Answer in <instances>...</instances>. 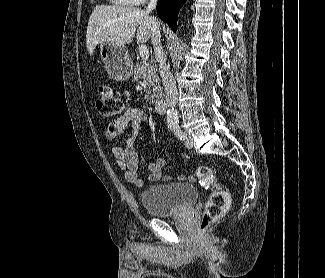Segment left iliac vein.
Segmentation results:
<instances>
[{
  "label": "left iliac vein",
  "instance_id": "4c4485c4",
  "mask_svg": "<svg viewBox=\"0 0 325 278\" xmlns=\"http://www.w3.org/2000/svg\"><path fill=\"white\" fill-rule=\"evenodd\" d=\"M185 146H186L187 148H193V146H194V141H193V139H192L191 136H188V137L186 138V140H185Z\"/></svg>",
  "mask_w": 325,
  "mask_h": 278
}]
</instances>
